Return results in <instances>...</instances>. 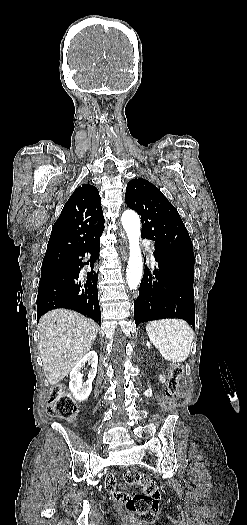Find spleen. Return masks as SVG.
<instances>
[{"label":"spleen","instance_id":"3e777b00","mask_svg":"<svg viewBox=\"0 0 247 525\" xmlns=\"http://www.w3.org/2000/svg\"><path fill=\"white\" fill-rule=\"evenodd\" d=\"M147 335L158 349L161 357L170 363H183L189 357L193 329L183 319H160L150 321Z\"/></svg>","mask_w":247,"mask_h":525}]
</instances>
